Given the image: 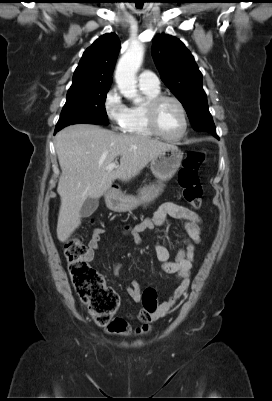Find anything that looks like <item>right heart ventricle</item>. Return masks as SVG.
Here are the masks:
<instances>
[{
    "instance_id": "1",
    "label": "right heart ventricle",
    "mask_w": 272,
    "mask_h": 401,
    "mask_svg": "<svg viewBox=\"0 0 272 401\" xmlns=\"http://www.w3.org/2000/svg\"><path fill=\"white\" fill-rule=\"evenodd\" d=\"M145 96V101L142 104L132 105L128 108L126 122L122 131L126 134L137 137H153L155 134L150 130L146 119V107L148 102L160 95V89L141 88Z\"/></svg>"
}]
</instances>
